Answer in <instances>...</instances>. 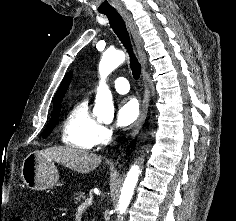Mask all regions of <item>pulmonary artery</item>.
<instances>
[{"label": "pulmonary artery", "instance_id": "1", "mask_svg": "<svg viewBox=\"0 0 236 221\" xmlns=\"http://www.w3.org/2000/svg\"><path fill=\"white\" fill-rule=\"evenodd\" d=\"M112 86L118 93H127L130 89L129 82L126 78L117 77L111 81Z\"/></svg>", "mask_w": 236, "mask_h": 221}]
</instances>
